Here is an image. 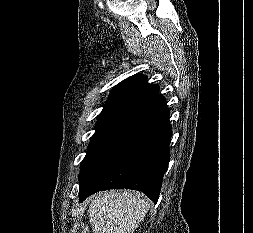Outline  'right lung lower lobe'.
Here are the masks:
<instances>
[{
    "label": "right lung lower lobe",
    "mask_w": 253,
    "mask_h": 233,
    "mask_svg": "<svg viewBox=\"0 0 253 233\" xmlns=\"http://www.w3.org/2000/svg\"><path fill=\"white\" fill-rule=\"evenodd\" d=\"M158 92L137 103L83 162L80 202L110 188L139 190L157 202L172 135L166 100Z\"/></svg>",
    "instance_id": "obj_1"
}]
</instances>
